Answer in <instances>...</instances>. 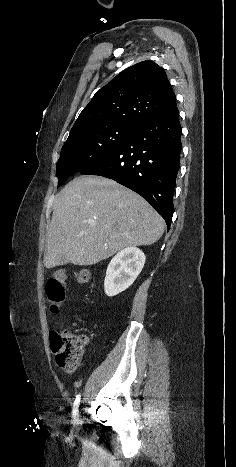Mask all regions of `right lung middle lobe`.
<instances>
[{
    "label": "right lung middle lobe",
    "instance_id": "obj_1",
    "mask_svg": "<svg viewBox=\"0 0 236 467\" xmlns=\"http://www.w3.org/2000/svg\"><path fill=\"white\" fill-rule=\"evenodd\" d=\"M135 130L127 126L111 125L70 134L56 164L58 187L72 174L81 172L113 152Z\"/></svg>",
    "mask_w": 236,
    "mask_h": 467
}]
</instances>
